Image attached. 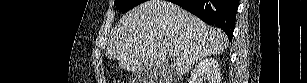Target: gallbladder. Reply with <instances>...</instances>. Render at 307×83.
Here are the masks:
<instances>
[{
  "label": "gallbladder",
  "mask_w": 307,
  "mask_h": 83,
  "mask_svg": "<svg viewBox=\"0 0 307 83\" xmlns=\"http://www.w3.org/2000/svg\"><path fill=\"white\" fill-rule=\"evenodd\" d=\"M164 77H168L170 81H164ZM132 81L133 83H171V78L167 70L162 72V69L146 68L141 71H136L132 75Z\"/></svg>",
  "instance_id": "gallbladder-1"
}]
</instances>
